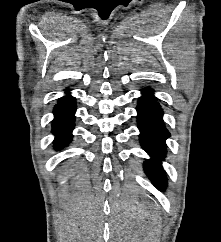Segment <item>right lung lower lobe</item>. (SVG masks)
Instances as JSON below:
<instances>
[{
  "instance_id": "98d812e1",
  "label": "right lung lower lobe",
  "mask_w": 221,
  "mask_h": 242,
  "mask_svg": "<svg viewBox=\"0 0 221 242\" xmlns=\"http://www.w3.org/2000/svg\"><path fill=\"white\" fill-rule=\"evenodd\" d=\"M76 104L72 96H64L54 108V122L52 124L55 134L54 145L56 148L66 146L72 139V129L75 121Z\"/></svg>"
}]
</instances>
